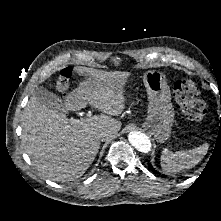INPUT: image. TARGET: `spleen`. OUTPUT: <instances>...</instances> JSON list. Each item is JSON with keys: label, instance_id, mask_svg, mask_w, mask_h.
I'll return each mask as SVG.
<instances>
[{"label": "spleen", "instance_id": "obj_1", "mask_svg": "<svg viewBox=\"0 0 221 221\" xmlns=\"http://www.w3.org/2000/svg\"><path fill=\"white\" fill-rule=\"evenodd\" d=\"M208 148V143H204L186 151L171 152L164 149L161 155V167L166 174H175L185 169H191L207 154Z\"/></svg>", "mask_w": 221, "mask_h": 221}]
</instances>
